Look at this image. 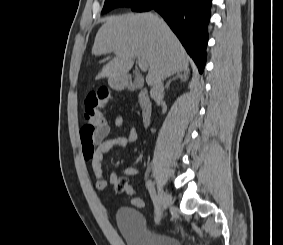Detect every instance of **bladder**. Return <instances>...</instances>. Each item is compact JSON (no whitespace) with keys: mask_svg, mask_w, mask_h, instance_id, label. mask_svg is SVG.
I'll return each instance as SVG.
<instances>
[{"mask_svg":"<svg viewBox=\"0 0 283 245\" xmlns=\"http://www.w3.org/2000/svg\"><path fill=\"white\" fill-rule=\"evenodd\" d=\"M116 220L127 245H182L177 237L150 229L143 214L133 207H120Z\"/></svg>","mask_w":283,"mask_h":245,"instance_id":"1","label":"bladder"}]
</instances>
